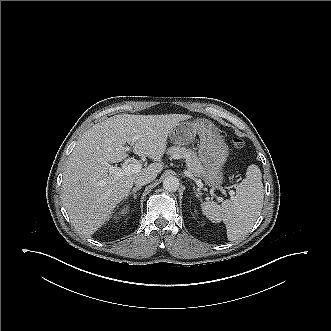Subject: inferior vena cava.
I'll list each match as a JSON object with an SVG mask.
<instances>
[{
    "mask_svg": "<svg viewBox=\"0 0 331 331\" xmlns=\"http://www.w3.org/2000/svg\"><path fill=\"white\" fill-rule=\"evenodd\" d=\"M154 179L155 178L153 176L140 175V176L136 177V179L134 180V184L136 185V187H141V186H144V185L150 183Z\"/></svg>",
    "mask_w": 331,
    "mask_h": 331,
    "instance_id": "602c4592",
    "label": "inferior vena cava"
}]
</instances>
